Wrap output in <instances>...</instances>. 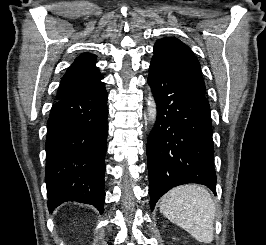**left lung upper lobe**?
Here are the masks:
<instances>
[{"label": "left lung upper lobe", "instance_id": "1", "mask_svg": "<svg viewBox=\"0 0 266 245\" xmlns=\"http://www.w3.org/2000/svg\"><path fill=\"white\" fill-rule=\"evenodd\" d=\"M152 60L158 61L205 93L199 61L190 48L176 38H163L154 45Z\"/></svg>", "mask_w": 266, "mask_h": 245}]
</instances>
